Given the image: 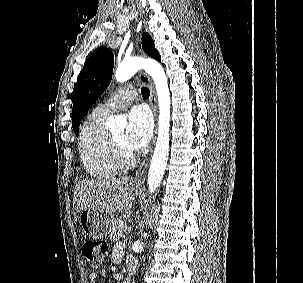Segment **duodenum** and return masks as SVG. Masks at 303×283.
<instances>
[{
  "label": "duodenum",
  "instance_id": "1",
  "mask_svg": "<svg viewBox=\"0 0 303 283\" xmlns=\"http://www.w3.org/2000/svg\"><path fill=\"white\" fill-rule=\"evenodd\" d=\"M138 264L136 261H130L127 265V274L132 275L137 271Z\"/></svg>",
  "mask_w": 303,
  "mask_h": 283
}]
</instances>
